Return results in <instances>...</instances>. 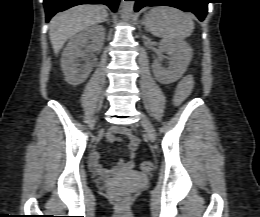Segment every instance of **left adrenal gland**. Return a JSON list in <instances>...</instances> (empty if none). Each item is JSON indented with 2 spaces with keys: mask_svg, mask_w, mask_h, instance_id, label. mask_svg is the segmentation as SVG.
Listing matches in <instances>:
<instances>
[{
  "mask_svg": "<svg viewBox=\"0 0 260 217\" xmlns=\"http://www.w3.org/2000/svg\"><path fill=\"white\" fill-rule=\"evenodd\" d=\"M141 24L146 26V21H145V19L142 20ZM145 29H147V28L145 27Z\"/></svg>",
  "mask_w": 260,
  "mask_h": 217,
  "instance_id": "obj_1",
  "label": "left adrenal gland"
}]
</instances>
